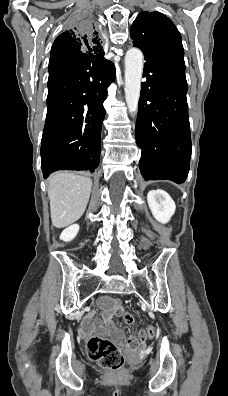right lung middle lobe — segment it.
<instances>
[{
    "mask_svg": "<svg viewBox=\"0 0 228 396\" xmlns=\"http://www.w3.org/2000/svg\"><path fill=\"white\" fill-rule=\"evenodd\" d=\"M53 74H54V72H51V71L49 72V75H53Z\"/></svg>",
    "mask_w": 228,
    "mask_h": 396,
    "instance_id": "dd1d6c3e",
    "label": "right lung middle lobe"
}]
</instances>
